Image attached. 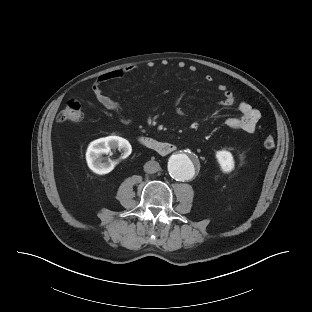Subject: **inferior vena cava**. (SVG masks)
Returning <instances> with one entry per match:
<instances>
[{
  "label": "inferior vena cava",
  "instance_id": "602c4592",
  "mask_svg": "<svg viewBox=\"0 0 312 312\" xmlns=\"http://www.w3.org/2000/svg\"><path fill=\"white\" fill-rule=\"evenodd\" d=\"M161 169L157 161H148L144 165V171L148 174H153L158 172Z\"/></svg>",
  "mask_w": 312,
  "mask_h": 312
}]
</instances>
